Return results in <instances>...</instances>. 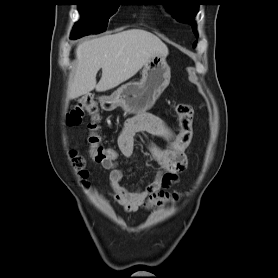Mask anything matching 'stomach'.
Returning a JSON list of instances; mask_svg holds the SVG:
<instances>
[{"mask_svg":"<svg viewBox=\"0 0 278 278\" xmlns=\"http://www.w3.org/2000/svg\"><path fill=\"white\" fill-rule=\"evenodd\" d=\"M166 56L157 54L151 57L143 67L140 81L127 83L110 96L101 97L102 108L110 111L121 107L130 114L149 110L170 83L171 69Z\"/></svg>","mask_w":278,"mask_h":278,"instance_id":"0dacf381","label":"stomach"}]
</instances>
